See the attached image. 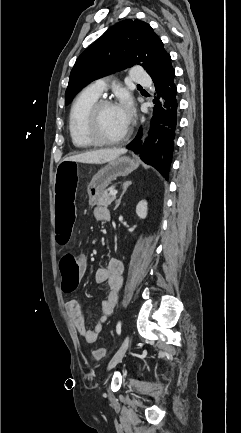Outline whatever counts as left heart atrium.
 I'll list each match as a JSON object with an SVG mask.
<instances>
[{
    "label": "left heart atrium",
    "mask_w": 241,
    "mask_h": 433,
    "mask_svg": "<svg viewBox=\"0 0 241 433\" xmlns=\"http://www.w3.org/2000/svg\"><path fill=\"white\" fill-rule=\"evenodd\" d=\"M117 108L123 120L128 125L133 116V107L130 100L127 97H122L120 102L117 105Z\"/></svg>",
    "instance_id": "39dd6f15"
}]
</instances>
